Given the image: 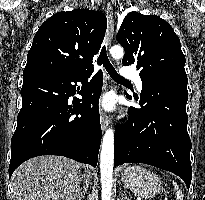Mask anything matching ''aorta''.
Wrapping results in <instances>:
<instances>
[{
	"label": "aorta",
	"instance_id": "1",
	"mask_svg": "<svg viewBox=\"0 0 205 200\" xmlns=\"http://www.w3.org/2000/svg\"><path fill=\"white\" fill-rule=\"evenodd\" d=\"M112 57L116 60L123 58L124 50L121 46L110 49ZM114 163V131L107 129L102 140L100 154L101 193L102 200H111Z\"/></svg>",
	"mask_w": 205,
	"mask_h": 200
}]
</instances>
